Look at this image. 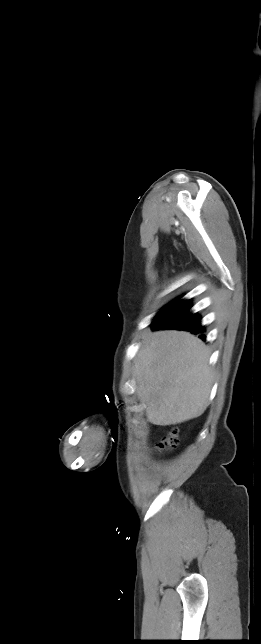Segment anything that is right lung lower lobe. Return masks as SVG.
Masks as SVG:
<instances>
[{
    "label": "right lung lower lobe",
    "mask_w": 261,
    "mask_h": 644,
    "mask_svg": "<svg viewBox=\"0 0 261 644\" xmlns=\"http://www.w3.org/2000/svg\"><path fill=\"white\" fill-rule=\"evenodd\" d=\"M190 308L191 304L188 303L163 319L154 321L152 327L154 329L185 330L195 335L204 332L205 327L200 323V316L197 313H190ZM199 337L205 340V335H200Z\"/></svg>",
    "instance_id": "98d812e1"
}]
</instances>
